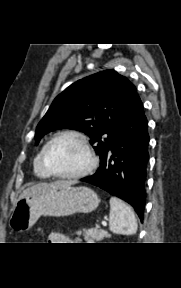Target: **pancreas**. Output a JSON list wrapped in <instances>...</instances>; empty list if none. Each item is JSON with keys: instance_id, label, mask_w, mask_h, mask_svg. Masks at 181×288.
<instances>
[{"instance_id": "obj_1", "label": "pancreas", "mask_w": 181, "mask_h": 288, "mask_svg": "<svg viewBox=\"0 0 181 288\" xmlns=\"http://www.w3.org/2000/svg\"><path fill=\"white\" fill-rule=\"evenodd\" d=\"M76 234L80 236L82 232L78 231ZM83 236L88 243H94L109 237V233L103 229H83ZM77 240L80 241V238H77Z\"/></svg>"}]
</instances>
